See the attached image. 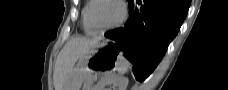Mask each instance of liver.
Returning a JSON list of instances; mask_svg holds the SVG:
<instances>
[{
    "mask_svg": "<svg viewBox=\"0 0 228 90\" xmlns=\"http://www.w3.org/2000/svg\"><path fill=\"white\" fill-rule=\"evenodd\" d=\"M101 40L102 37L85 38L76 36L65 44L60 51L55 64V90H65L75 63L91 48L96 47Z\"/></svg>",
    "mask_w": 228,
    "mask_h": 90,
    "instance_id": "1",
    "label": "liver"
}]
</instances>
